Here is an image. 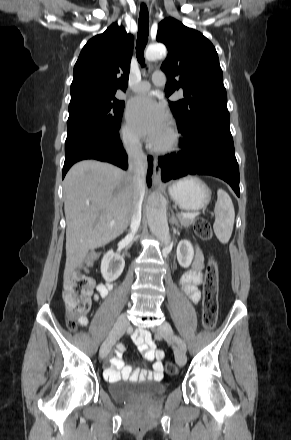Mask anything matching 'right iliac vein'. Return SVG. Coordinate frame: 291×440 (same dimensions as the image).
I'll use <instances>...</instances> for the list:
<instances>
[{"mask_svg":"<svg viewBox=\"0 0 291 440\" xmlns=\"http://www.w3.org/2000/svg\"><path fill=\"white\" fill-rule=\"evenodd\" d=\"M128 326V319L126 314H122L118 317L113 329L109 333L106 340L103 342L100 348V358H105L110 352L111 348L117 341V339L122 335Z\"/></svg>","mask_w":291,"mask_h":440,"instance_id":"63e3f726","label":"right iliac vein"}]
</instances>
